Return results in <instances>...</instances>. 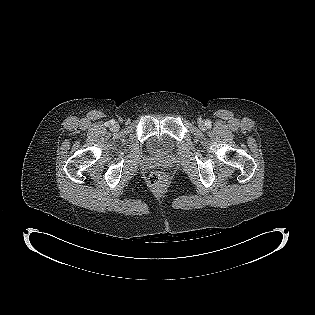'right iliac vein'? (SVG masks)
Wrapping results in <instances>:
<instances>
[{
	"instance_id": "63e3f726",
	"label": "right iliac vein",
	"mask_w": 315,
	"mask_h": 315,
	"mask_svg": "<svg viewBox=\"0 0 315 315\" xmlns=\"http://www.w3.org/2000/svg\"><path fill=\"white\" fill-rule=\"evenodd\" d=\"M118 127H119L118 124L113 125L114 129H117Z\"/></svg>"
}]
</instances>
